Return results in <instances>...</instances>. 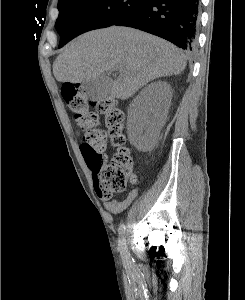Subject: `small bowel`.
<instances>
[{"label":"small bowel","mask_w":245,"mask_h":300,"mask_svg":"<svg viewBox=\"0 0 245 300\" xmlns=\"http://www.w3.org/2000/svg\"><path fill=\"white\" fill-rule=\"evenodd\" d=\"M138 191L136 189L131 190L127 196L121 200H108L104 202L105 208L112 213H120L124 211L137 197Z\"/></svg>","instance_id":"c3829d8e"}]
</instances>
